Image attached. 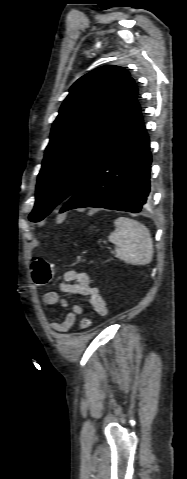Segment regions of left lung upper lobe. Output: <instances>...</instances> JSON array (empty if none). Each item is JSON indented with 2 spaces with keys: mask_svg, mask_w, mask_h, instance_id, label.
Here are the masks:
<instances>
[{
  "mask_svg": "<svg viewBox=\"0 0 187 479\" xmlns=\"http://www.w3.org/2000/svg\"><path fill=\"white\" fill-rule=\"evenodd\" d=\"M138 97L127 70L107 65L79 78L53 123L29 219L39 222L71 197L119 136Z\"/></svg>",
  "mask_w": 187,
  "mask_h": 479,
  "instance_id": "5c2ea615",
  "label": "left lung upper lobe"
}]
</instances>
